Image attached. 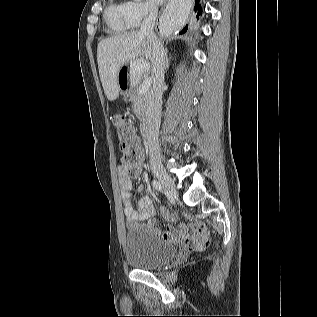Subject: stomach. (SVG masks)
<instances>
[{
    "label": "stomach",
    "mask_w": 317,
    "mask_h": 317,
    "mask_svg": "<svg viewBox=\"0 0 317 317\" xmlns=\"http://www.w3.org/2000/svg\"><path fill=\"white\" fill-rule=\"evenodd\" d=\"M147 59H129L118 73L117 91L120 94H130L133 85H138L142 82V77L139 74H146Z\"/></svg>",
    "instance_id": "0dacf381"
}]
</instances>
